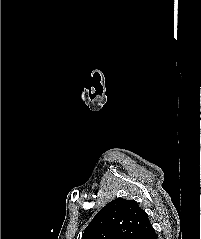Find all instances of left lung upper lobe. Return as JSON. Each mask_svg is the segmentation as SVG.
<instances>
[{"instance_id": "1", "label": "left lung upper lobe", "mask_w": 201, "mask_h": 239, "mask_svg": "<svg viewBox=\"0 0 201 239\" xmlns=\"http://www.w3.org/2000/svg\"><path fill=\"white\" fill-rule=\"evenodd\" d=\"M150 227L148 215L136 201L117 198L95 215L82 239H143Z\"/></svg>"}]
</instances>
